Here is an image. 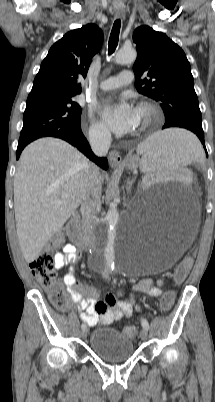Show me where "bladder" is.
<instances>
[{"label": "bladder", "instance_id": "31cf9c89", "mask_svg": "<svg viewBox=\"0 0 215 402\" xmlns=\"http://www.w3.org/2000/svg\"><path fill=\"white\" fill-rule=\"evenodd\" d=\"M92 353L106 362H119L131 358L134 354L133 341L114 328L95 329L89 338Z\"/></svg>", "mask_w": 215, "mask_h": 402}]
</instances>
